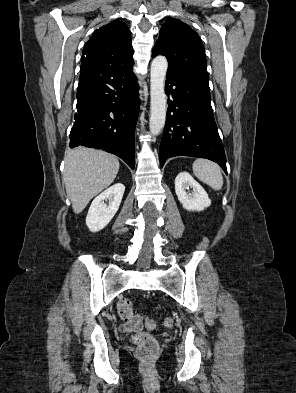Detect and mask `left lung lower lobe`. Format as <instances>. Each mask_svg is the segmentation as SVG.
Here are the masks:
<instances>
[{"mask_svg": "<svg viewBox=\"0 0 296 393\" xmlns=\"http://www.w3.org/2000/svg\"><path fill=\"white\" fill-rule=\"evenodd\" d=\"M165 92L173 100H168L159 149L161 166L167 158L183 155L210 159L227 173L225 152L210 102L209 81L167 74Z\"/></svg>", "mask_w": 296, "mask_h": 393, "instance_id": "0a47b994", "label": "left lung lower lobe"}]
</instances>
